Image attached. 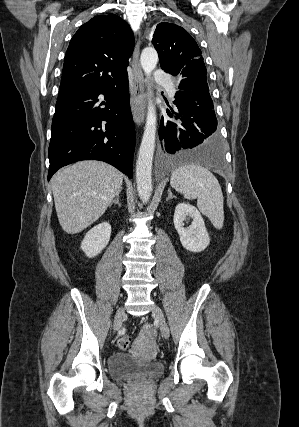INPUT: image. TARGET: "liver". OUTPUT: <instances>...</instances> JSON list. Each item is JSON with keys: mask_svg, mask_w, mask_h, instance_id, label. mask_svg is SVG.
<instances>
[{"mask_svg": "<svg viewBox=\"0 0 299 427\" xmlns=\"http://www.w3.org/2000/svg\"><path fill=\"white\" fill-rule=\"evenodd\" d=\"M123 174L95 160L77 162L51 179L57 217L62 229L76 234L99 219L122 189Z\"/></svg>", "mask_w": 299, "mask_h": 427, "instance_id": "6515ba94", "label": "liver"}]
</instances>
